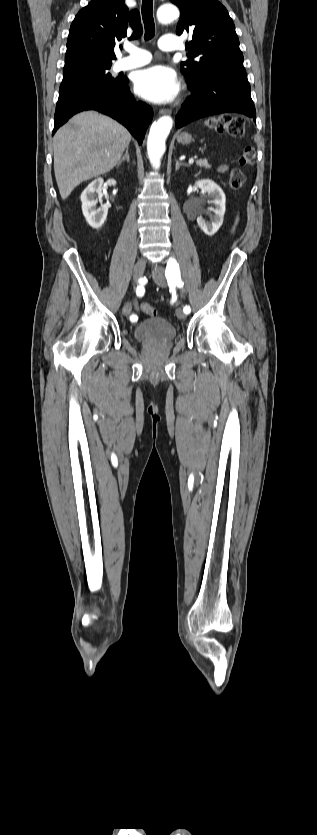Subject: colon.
<instances>
[{
    "mask_svg": "<svg viewBox=\"0 0 317 835\" xmlns=\"http://www.w3.org/2000/svg\"><path fill=\"white\" fill-rule=\"evenodd\" d=\"M206 125L210 130L218 134H227L234 138H241L245 133V122L241 117H231L228 115L221 117H213L207 120ZM255 160V150L252 147H245L239 158L240 167L252 166ZM240 167L234 168L230 173L229 183L234 189L240 188L244 181L245 175ZM141 310L149 316H155L156 309L148 303L140 305Z\"/></svg>",
    "mask_w": 317,
    "mask_h": 835,
    "instance_id": "5ec220e1",
    "label": "colon"
}]
</instances>
